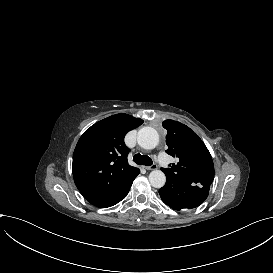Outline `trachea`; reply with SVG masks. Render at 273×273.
Wrapping results in <instances>:
<instances>
[{"label": "trachea", "instance_id": "3493384b", "mask_svg": "<svg viewBox=\"0 0 273 273\" xmlns=\"http://www.w3.org/2000/svg\"><path fill=\"white\" fill-rule=\"evenodd\" d=\"M133 161L138 165L151 166L153 164L152 159L147 155L135 154Z\"/></svg>", "mask_w": 273, "mask_h": 273}]
</instances>
